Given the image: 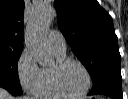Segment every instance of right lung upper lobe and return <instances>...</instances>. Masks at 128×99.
<instances>
[{"mask_svg": "<svg viewBox=\"0 0 128 99\" xmlns=\"http://www.w3.org/2000/svg\"><path fill=\"white\" fill-rule=\"evenodd\" d=\"M24 0H0V47L23 49Z\"/></svg>", "mask_w": 128, "mask_h": 99, "instance_id": "cb5924a9", "label": "right lung upper lobe"}]
</instances>
